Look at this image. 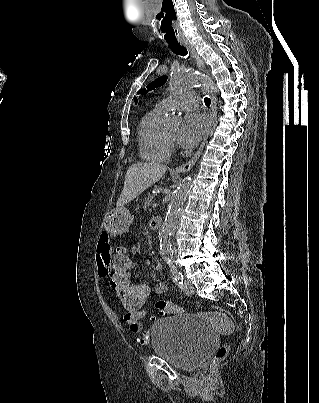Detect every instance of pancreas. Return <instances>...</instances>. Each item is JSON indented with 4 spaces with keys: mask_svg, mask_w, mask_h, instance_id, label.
I'll return each instance as SVG.
<instances>
[{
    "mask_svg": "<svg viewBox=\"0 0 319 403\" xmlns=\"http://www.w3.org/2000/svg\"><path fill=\"white\" fill-rule=\"evenodd\" d=\"M154 201V195L153 194H148L143 203V208L146 209L147 207L151 206Z\"/></svg>",
    "mask_w": 319,
    "mask_h": 403,
    "instance_id": "obj_1",
    "label": "pancreas"
}]
</instances>
